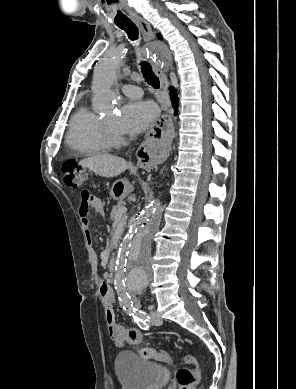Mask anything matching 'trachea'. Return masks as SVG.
Returning <instances> with one entry per match:
<instances>
[{
	"instance_id": "3493384b",
	"label": "trachea",
	"mask_w": 296,
	"mask_h": 389,
	"mask_svg": "<svg viewBox=\"0 0 296 389\" xmlns=\"http://www.w3.org/2000/svg\"><path fill=\"white\" fill-rule=\"evenodd\" d=\"M118 27L127 33L130 40L134 41L138 39V28L133 22L120 24L118 25ZM140 65L141 72L145 78V81L153 88L158 89L160 87V81L159 78L152 71L151 65L146 61L140 62Z\"/></svg>"
}]
</instances>
